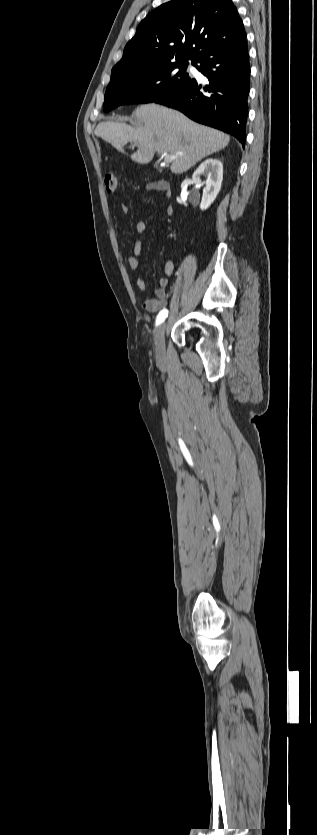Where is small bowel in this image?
I'll return each instance as SVG.
<instances>
[{"label": "small bowel", "mask_w": 317, "mask_h": 835, "mask_svg": "<svg viewBox=\"0 0 317 835\" xmlns=\"http://www.w3.org/2000/svg\"><path fill=\"white\" fill-rule=\"evenodd\" d=\"M147 189L148 190L160 191L157 182L148 184ZM122 209H123V211H126L125 206H122ZM166 213L168 215H172L173 214L172 207H170V206L166 207ZM145 230H146V223L144 221L137 222L136 227H135V232H136L138 238L134 242L132 255H130L128 257V267L132 271H135V272H137L140 268L139 256H140L141 251H142V240L140 239V236L145 232ZM174 268H175L174 260L173 259H168L167 262L165 263V266H164V274L158 282V287L155 291V296L152 297V298L146 299L143 303V307L146 311L157 312L159 309H161L162 307H164L167 304L168 297H167V293H166V288H167V285L169 283V279L174 272ZM136 284H137L138 289L141 292H145L147 290V284L139 274L136 275Z\"/></svg>", "instance_id": "1"}]
</instances>
